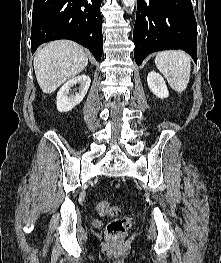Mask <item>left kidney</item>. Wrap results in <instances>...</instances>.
Segmentation results:
<instances>
[{
    "label": "left kidney",
    "mask_w": 221,
    "mask_h": 263,
    "mask_svg": "<svg viewBox=\"0 0 221 263\" xmlns=\"http://www.w3.org/2000/svg\"><path fill=\"white\" fill-rule=\"evenodd\" d=\"M147 84L149 89L158 98L164 99L169 96V91L163 77L154 71H151L147 76Z\"/></svg>",
    "instance_id": "obj_1"
}]
</instances>
